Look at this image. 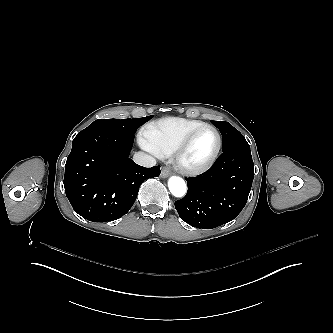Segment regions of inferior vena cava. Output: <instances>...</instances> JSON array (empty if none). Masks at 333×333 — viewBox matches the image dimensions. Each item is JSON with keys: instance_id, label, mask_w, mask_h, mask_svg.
<instances>
[{"instance_id": "obj_1", "label": "inferior vena cava", "mask_w": 333, "mask_h": 333, "mask_svg": "<svg viewBox=\"0 0 333 333\" xmlns=\"http://www.w3.org/2000/svg\"><path fill=\"white\" fill-rule=\"evenodd\" d=\"M134 161L138 165L146 168H151L156 165V159L144 152L136 153L134 155Z\"/></svg>"}]
</instances>
